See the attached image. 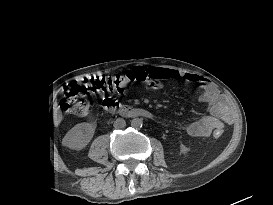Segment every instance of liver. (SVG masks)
Masks as SVG:
<instances>
[{"mask_svg":"<svg viewBox=\"0 0 273 205\" xmlns=\"http://www.w3.org/2000/svg\"><path fill=\"white\" fill-rule=\"evenodd\" d=\"M61 119H62L61 112L59 110H56L55 111V120H56V122H60Z\"/></svg>","mask_w":273,"mask_h":205,"instance_id":"liver-1","label":"liver"}]
</instances>
